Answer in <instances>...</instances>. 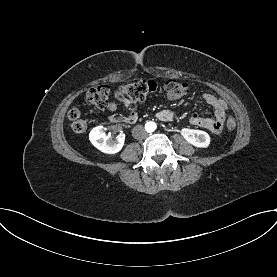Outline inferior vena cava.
<instances>
[{"instance_id":"1","label":"inferior vena cava","mask_w":277,"mask_h":277,"mask_svg":"<svg viewBox=\"0 0 277 277\" xmlns=\"http://www.w3.org/2000/svg\"><path fill=\"white\" fill-rule=\"evenodd\" d=\"M132 136L138 140L145 139L147 137V132L142 125H136L132 129Z\"/></svg>"}]
</instances>
